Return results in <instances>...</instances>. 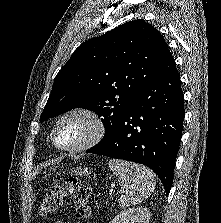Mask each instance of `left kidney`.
Wrapping results in <instances>:
<instances>
[{"mask_svg":"<svg viewBox=\"0 0 221 223\" xmlns=\"http://www.w3.org/2000/svg\"><path fill=\"white\" fill-rule=\"evenodd\" d=\"M150 211L147 208H132L120 212L111 223H149Z\"/></svg>","mask_w":221,"mask_h":223,"instance_id":"5707ae66","label":"left kidney"}]
</instances>
